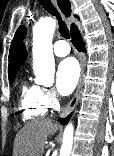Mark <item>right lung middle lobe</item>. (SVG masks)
Here are the masks:
<instances>
[{"label":"right lung middle lobe","mask_w":114,"mask_h":156,"mask_svg":"<svg viewBox=\"0 0 114 156\" xmlns=\"http://www.w3.org/2000/svg\"><path fill=\"white\" fill-rule=\"evenodd\" d=\"M15 76L9 77V83L12 84L14 82Z\"/></svg>","instance_id":"dd1d6c3e"}]
</instances>
